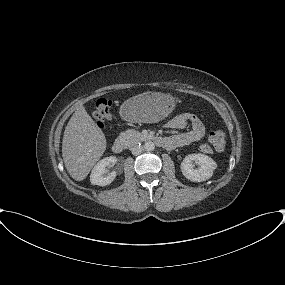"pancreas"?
<instances>
[{
    "mask_svg": "<svg viewBox=\"0 0 285 285\" xmlns=\"http://www.w3.org/2000/svg\"><path fill=\"white\" fill-rule=\"evenodd\" d=\"M120 137L130 142H139L143 139V134L136 130H127L120 133Z\"/></svg>",
    "mask_w": 285,
    "mask_h": 285,
    "instance_id": "pancreas-1",
    "label": "pancreas"
}]
</instances>
